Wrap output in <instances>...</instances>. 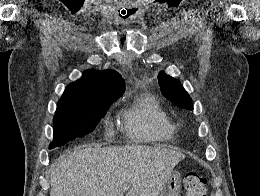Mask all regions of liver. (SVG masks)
I'll use <instances>...</instances> for the list:
<instances>
[{
    "label": "liver",
    "mask_w": 260,
    "mask_h": 196,
    "mask_svg": "<svg viewBox=\"0 0 260 196\" xmlns=\"http://www.w3.org/2000/svg\"><path fill=\"white\" fill-rule=\"evenodd\" d=\"M184 154L150 146H78L51 168L50 196H159Z\"/></svg>",
    "instance_id": "liver-1"
}]
</instances>
